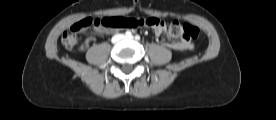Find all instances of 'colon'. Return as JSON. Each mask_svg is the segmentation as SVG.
Masks as SVG:
<instances>
[{
  "label": "colon",
  "mask_w": 276,
  "mask_h": 120,
  "mask_svg": "<svg viewBox=\"0 0 276 120\" xmlns=\"http://www.w3.org/2000/svg\"><path fill=\"white\" fill-rule=\"evenodd\" d=\"M163 21L159 18H133V17H104V18H86L73 24L69 30L63 33L61 41L65 48L73 49L76 45L80 34L89 28H135L140 26L155 27ZM169 32L174 37H180L184 41L195 40L199 35L197 27L190 24H181L177 21L172 22L169 26Z\"/></svg>",
  "instance_id": "1"
}]
</instances>
